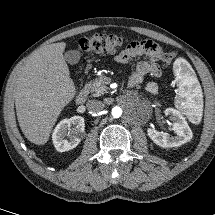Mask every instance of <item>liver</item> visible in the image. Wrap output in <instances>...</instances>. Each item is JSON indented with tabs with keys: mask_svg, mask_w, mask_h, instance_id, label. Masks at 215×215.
I'll list each match as a JSON object with an SVG mask.
<instances>
[{
	"mask_svg": "<svg viewBox=\"0 0 215 215\" xmlns=\"http://www.w3.org/2000/svg\"><path fill=\"white\" fill-rule=\"evenodd\" d=\"M59 42L33 52L13 77L19 126L32 143L44 145L62 109L74 98L76 87Z\"/></svg>",
	"mask_w": 215,
	"mask_h": 215,
	"instance_id": "1",
	"label": "liver"
}]
</instances>
